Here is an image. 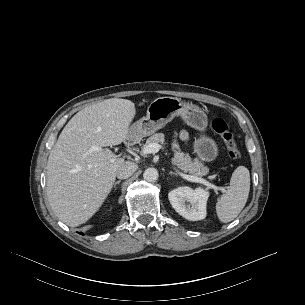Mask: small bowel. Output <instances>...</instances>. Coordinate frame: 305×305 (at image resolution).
Listing matches in <instances>:
<instances>
[{
	"mask_svg": "<svg viewBox=\"0 0 305 305\" xmlns=\"http://www.w3.org/2000/svg\"><path fill=\"white\" fill-rule=\"evenodd\" d=\"M189 140V136L187 132L185 131H180L175 135V140L173 142L174 148L178 149L179 148V142H187Z\"/></svg>",
	"mask_w": 305,
	"mask_h": 305,
	"instance_id": "small-bowel-1",
	"label": "small bowel"
}]
</instances>
